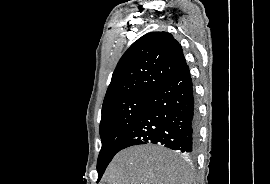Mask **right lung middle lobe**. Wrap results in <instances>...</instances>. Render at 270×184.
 I'll use <instances>...</instances> for the list:
<instances>
[{
  "label": "right lung middle lobe",
  "instance_id": "1",
  "mask_svg": "<svg viewBox=\"0 0 270 184\" xmlns=\"http://www.w3.org/2000/svg\"><path fill=\"white\" fill-rule=\"evenodd\" d=\"M147 97L134 95L103 105L100 123L102 148L97 161L98 181L119 151L121 142L140 114Z\"/></svg>",
  "mask_w": 270,
  "mask_h": 184
}]
</instances>
